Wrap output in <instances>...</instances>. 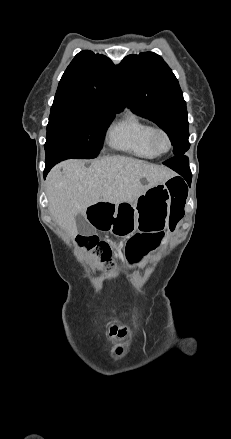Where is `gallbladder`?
<instances>
[{
    "label": "gallbladder",
    "mask_w": 231,
    "mask_h": 439,
    "mask_svg": "<svg viewBox=\"0 0 231 439\" xmlns=\"http://www.w3.org/2000/svg\"><path fill=\"white\" fill-rule=\"evenodd\" d=\"M76 225H77L78 232L80 234L92 235L94 233L93 227L90 226L86 222V220L84 219L83 215H81V214H78L76 216Z\"/></svg>",
    "instance_id": "obj_1"
}]
</instances>
